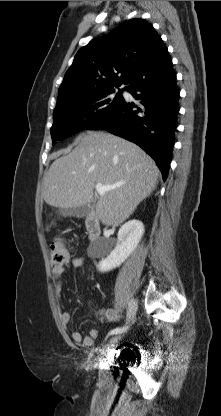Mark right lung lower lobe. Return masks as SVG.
Listing matches in <instances>:
<instances>
[{
    "label": "right lung lower lobe",
    "mask_w": 221,
    "mask_h": 416,
    "mask_svg": "<svg viewBox=\"0 0 221 416\" xmlns=\"http://www.w3.org/2000/svg\"><path fill=\"white\" fill-rule=\"evenodd\" d=\"M130 91L139 104L124 101L115 115L98 123L95 130H107L139 145L156 161L165 181L179 112L175 73L172 69L166 77L143 81Z\"/></svg>",
    "instance_id": "right-lung-lower-lobe-1"
}]
</instances>
